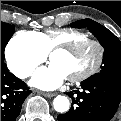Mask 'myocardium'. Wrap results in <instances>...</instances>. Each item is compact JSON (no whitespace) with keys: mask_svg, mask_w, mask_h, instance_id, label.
Here are the masks:
<instances>
[{"mask_svg":"<svg viewBox=\"0 0 121 121\" xmlns=\"http://www.w3.org/2000/svg\"><path fill=\"white\" fill-rule=\"evenodd\" d=\"M88 46H93L97 50L95 61L80 74L67 78L70 83H80L91 78L101 69L105 59V47L101 41L86 38L70 45H58L50 50L48 57L50 59V56L55 52H64L71 55Z\"/></svg>","mask_w":121,"mask_h":121,"instance_id":"myocardium-1","label":"myocardium"}]
</instances>
